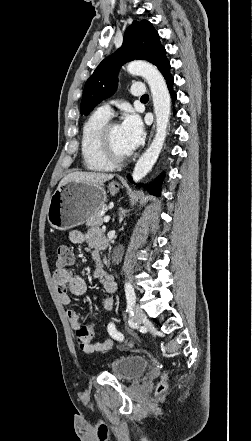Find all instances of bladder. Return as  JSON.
I'll return each instance as SVG.
<instances>
[{"mask_svg":"<svg viewBox=\"0 0 252 441\" xmlns=\"http://www.w3.org/2000/svg\"><path fill=\"white\" fill-rule=\"evenodd\" d=\"M149 362L143 356H128L116 358L111 363L113 374L121 380H134L147 369Z\"/></svg>","mask_w":252,"mask_h":441,"instance_id":"bladder-1","label":"bladder"}]
</instances>
